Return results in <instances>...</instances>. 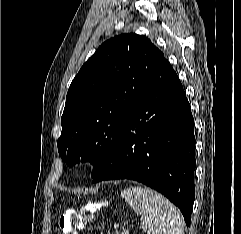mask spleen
I'll list each match as a JSON object with an SVG mask.
<instances>
[{
  "instance_id": "spleen-1",
  "label": "spleen",
  "mask_w": 241,
  "mask_h": 234,
  "mask_svg": "<svg viewBox=\"0 0 241 234\" xmlns=\"http://www.w3.org/2000/svg\"><path fill=\"white\" fill-rule=\"evenodd\" d=\"M121 197L141 216L148 234H184V221L177 208L163 195L145 186L124 189Z\"/></svg>"
}]
</instances>
